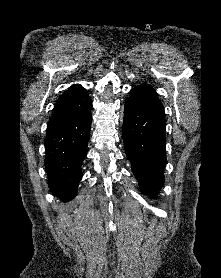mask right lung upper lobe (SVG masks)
Segmentation results:
<instances>
[{"mask_svg": "<svg viewBox=\"0 0 221 278\" xmlns=\"http://www.w3.org/2000/svg\"><path fill=\"white\" fill-rule=\"evenodd\" d=\"M92 104L87 91L80 85H72L57 100L49 120L47 134L81 116Z\"/></svg>", "mask_w": 221, "mask_h": 278, "instance_id": "cb5924a9", "label": "right lung upper lobe"}]
</instances>
